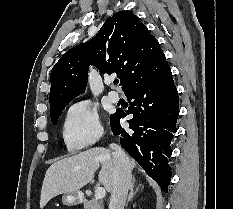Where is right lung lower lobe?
Here are the masks:
<instances>
[{"label": "right lung lower lobe", "instance_id": "obj_1", "mask_svg": "<svg viewBox=\"0 0 233 209\" xmlns=\"http://www.w3.org/2000/svg\"><path fill=\"white\" fill-rule=\"evenodd\" d=\"M130 106L117 110L110 118L114 135L121 146L142 166L145 172L167 192L171 180L168 158L170 143L176 132L179 101L170 66L166 65L153 79L125 93ZM133 100V102H131ZM133 114L128 129L120 119Z\"/></svg>", "mask_w": 233, "mask_h": 209}]
</instances>
